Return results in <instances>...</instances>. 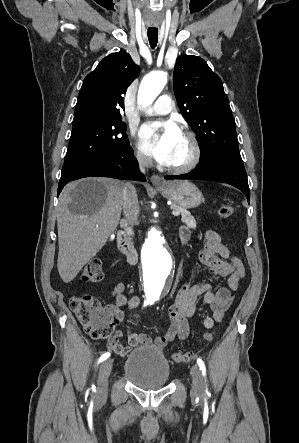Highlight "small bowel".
Wrapping results in <instances>:
<instances>
[{
    "mask_svg": "<svg viewBox=\"0 0 299 443\" xmlns=\"http://www.w3.org/2000/svg\"><path fill=\"white\" fill-rule=\"evenodd\" d=\"M179 234L182 242L188 241L190 232L187 227L182 226ZM204 238L205 244L199 252V260L211 273L226 277L227 286L220 287L214 292L208 284H183L177 291L174 302L168 308L169 323L162 335L151 338L145 333H133L129 330L130 320H126L127 344L120 342L122 332L117 331L109 340L110 350L120 356H125L133 347L152 345L162 348L176 339L184 340L189 335L188 318L196 314L200 297L203 298L205 304L210 306L212 311V314L203 320L205 328L211 329L216 322L223 319L232 304L233 292L239 289L247 272L242 261L222 244L215 231H206ZM125 287L124 282H119L112 287L110 292L115 298L116 304L109 309L119 321L124 318L119 307L127 305L129 310H134L139 307L141 302L137 295L128 299L124 294Z\"/></svg>",
    "mask_w": 299,
    "mask_h": 443,
    "instance_id": "c3829d8e",
    "label": "small bowel"
}]
</instances>
